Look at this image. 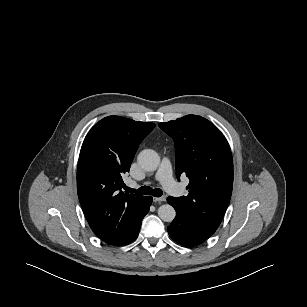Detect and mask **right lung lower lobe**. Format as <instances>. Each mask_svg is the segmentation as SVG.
I'll list each match as a JSON object with an SVG mask.
<instances>
[{"instance_id":"obj_1","label":"right lung lower lobe","mask_w":307,"mask_h":307,"mask_svg":"<svg viewBox=\"0 0 307 307\" xmlns=\"http://www.w3.org/2000/svg\"><path fill=\"white\" fill-rule=\"evenodd\" d=\"M151 203H152V197H147V205H146V213H145V215L147 214V212H148V210H149V207H150ZM140 226H141V224H140ZM140 226L138 227V229H137L135 235L133 236V238H132V240H131L130 242H132L133 240H135V239L137 238V236H138V234H139ZM130 242H129V243H130Z\"/></svg>"}]
</instances>
